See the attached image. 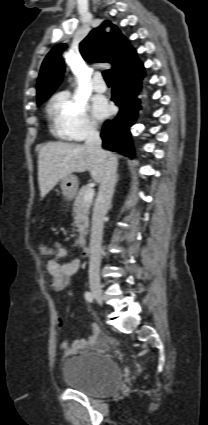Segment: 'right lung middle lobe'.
I'll list each match as a JSON object with an SVG mask.
<instances>
[{
    "mask_svg": "<svg viewBox=\"0 0 208 425\" xmlns=\"http://www.w3.org/2000/svg\"><path fill=\"white\" fill-rule=\"evenodd\" d=\"M49 97H46L45 99H43L41 102L38 103V105H40L41 103H43L46 99H48Z\"/></svg>",
    "mask_w": 208,
    "mask_h": 425,
    "instance_id": "dd1d6c3e",
    "label": "right lung middle lobe"
}]
</instances>
